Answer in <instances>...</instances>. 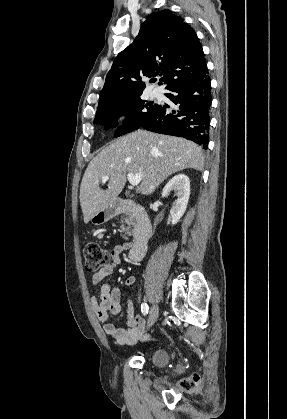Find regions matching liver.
<instances>
[{
    "label": "liver",
    "instance_id": "obj_1",
    "mask_svg": "<svg viewBox=\"0 0 287 419\" xmlns=\"http://www.w3.org/2000/svg\"><path fill=\"white\" fill-rule=\"evenodd\" d=\"M202 148L184 138L137 130L118 138L95 156L80 186L84 223L110 204L123 190L127 173H141L140 192L151 194L170 175L187 168L201 171ZM103 176L108 188H100Z\"/></svg>",
    "mask_w": 287,
    "mask_h": 419
}]
</instances>
